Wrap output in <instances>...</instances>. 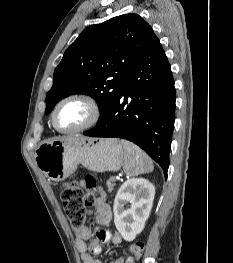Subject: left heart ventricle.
Returning a JSON list of instances; mask_svg holds the SVG:
<instances>
[{
    "label": "left heart ventricle",
    "mask_w": 233,
    "mask_h": 263,
    "mask_svg": "<svg viewBox=\"0 0 233 263\" xmlns=\"http://www.w3.org/2000/svg\"><path fill=\"white\" fill-rule=\"evenodd\" d=\"M90 116V110L83 102L64 103L57 113V124L61 129L72 130L83 125Z\"/></svg>",
    "instance_id": "1"
}]
</instances>
